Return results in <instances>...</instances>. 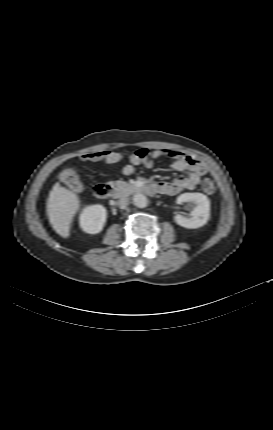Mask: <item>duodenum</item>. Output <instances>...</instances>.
<instances>
[{"mask_svg": "<svg viewBox=\"0 0 273 430\" xmlns=\"http://www.w3.org/2000/svg\"><path fill=\"white\" fill-rule=\"evenodd\" d=\"M138 189L146 193H155V188L152 185L140 186ZM112 190V186L107 183H98L94 188L95 195L100 199L108 198Z\"/></svg>", "mask_w": 273, "mask_h": 430, "instance_id": "1", "label": "duodenum"}]
</instances>
